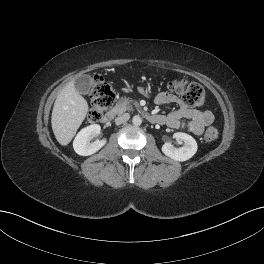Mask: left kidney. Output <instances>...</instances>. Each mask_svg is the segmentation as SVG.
Here are the masks:
<instances>
[{
    "instance_id": "left-kidney-1",
    "label": "left kidney",
    "mask_w": 264,
    "mask_h": 264,
    "mask_svg": "<svg viewBox=\"0 0 264 264\" xmlns=\"http://www.w3.org/2000/svg\"><path fill=\"white\" fill-rule=\"evenodd\" d=\"M173 137L182 140L184 145L176 148L171 143L166 142L162 146V152L169 158L182 162L189 160L197 152V142L189 134L177 132Z\"/></svg>"
}]
</instances>
